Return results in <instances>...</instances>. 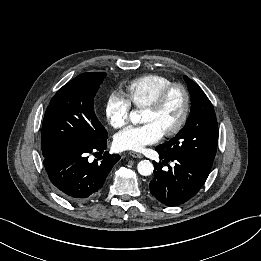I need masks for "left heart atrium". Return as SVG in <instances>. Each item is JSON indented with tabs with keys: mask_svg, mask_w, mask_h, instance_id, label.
I'll return each mask as SVG.
<instances>
[{
	"mask_svg": "<svg viewBox=\"0 0 261 261\" xmlns=\"http://www.w3.org/2000/svg\"><path fill=\"white\" fill-rule=\"evenodd\" d=\"M162 131L152 123L129 126L115 136L114 144L119 150L141 151L146 146L158 142Z\"/></svg>",
	"mask_w": 261,
	"mask_h": 261,
	"instance_id": "39dd6f15",
	"label": "left heart atrium"
}]
</instances>
